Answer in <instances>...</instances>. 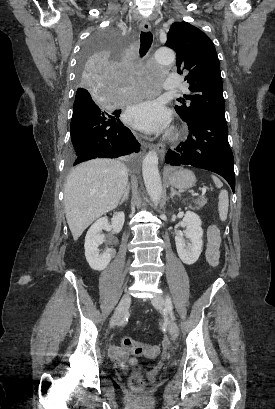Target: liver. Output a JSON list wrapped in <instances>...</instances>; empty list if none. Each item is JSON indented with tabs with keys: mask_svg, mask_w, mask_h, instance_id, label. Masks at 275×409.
I'll return each mask as SVG.
<instances>
[{
	"mask_svg": "<svg viewBox=\"0 0 275 409\" xmlns=\"http://www.w3.org/2000/svg\"><path fill=\"white\" fill-rule=\"evenodd\" d=\"M128 168L115 158H93L75 166L64 188L66 221L74 241L83 231L116 209L128 182Z\"/></svg>",
	"mask_w": 275,
	"mask_h": 409,
	"instance_id": "6515ba94",
	"label": "liver"
}]
</instances>
